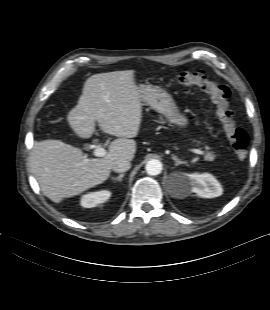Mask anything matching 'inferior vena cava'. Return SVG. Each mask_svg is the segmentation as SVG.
Masks as SVG:
<instances>
[{"instance_id":"obj_1","label":"inferior vena cava","mask_w":270,"mask_h":310,"mask_svg":"<svg viewBox=\"0 0 270 310\" xmlns=\"http://www.w3.org/2000/svg\"><path fill=\"white\" fill-rule=\"evenodd\" d=\"M131 167V163L129 160L120 159L113 163L112 170L118 173L126 172Z\"/></svg>"}]
</instances>
